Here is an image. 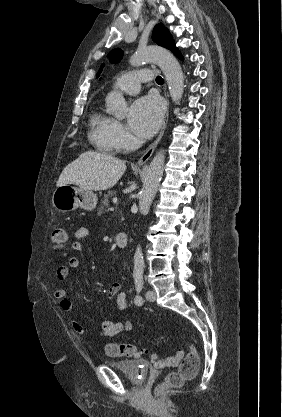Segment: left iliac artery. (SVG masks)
<instances>
[{"mask_svg": "<svg viewBox=\"0 0 282 417\" xmlns=\"http://www.w3.org/2000/svg\"><path fill=\"white\" fill-rule=\"evenodd\" d=\"M135 285H136V291H137V295L134 298V302L136 305H141L143 303V299L140 295V292L143 289V278L138 277L135 279Z\"/></svg>", "mask_w": 282, "mask_h": 417, "instance_id": "1", "label": "left iliac artery"}]
</instances>
